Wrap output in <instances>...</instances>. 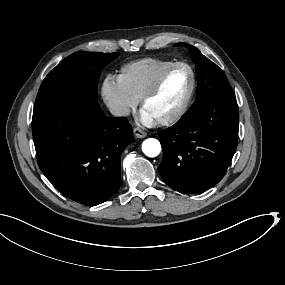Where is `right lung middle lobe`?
Masks as SVG:
<instances>
[{"label":"right lung middle lobe","mask_w":285,"mask_h":285,"mask_svg":"<svg viewBox=\"0 0 285 285\" xmlns=\"http://www.w3.org/2000/svg\"><path fill=\"white\" fill-rule=\"evenodd\" d=\"M119 53L76 52L65 58L44 79L34 107L59 95L78 94L97 100V83L102 69Z\"/></svg>","instance_id":"obj_1"}]
</instances>
